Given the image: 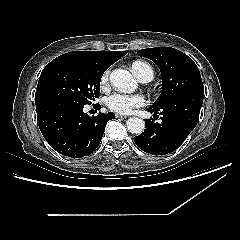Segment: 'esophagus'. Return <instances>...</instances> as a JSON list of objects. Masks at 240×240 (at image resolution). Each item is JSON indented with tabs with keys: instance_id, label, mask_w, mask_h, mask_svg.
<instances>
[{
	"instance_id": "esophagus-1",
	"label": "esophagus",
	"mask_w": 240,
	"mask_h": 240,
	"mask_svg": "<svg viewBox=\"0 0 240 240\" xmlns=\"http://www.w3.org/2000/svg\"><path fill=\"white\" fill-rule=\"evenodd\" d=\"M115 117H117V118H122V119L128 118L127 115H121V114H116Z\"/></svg>"
}]
</instances>
